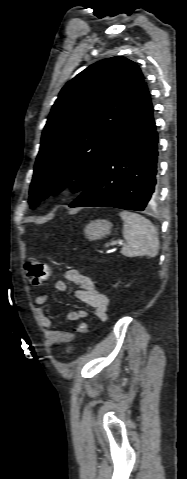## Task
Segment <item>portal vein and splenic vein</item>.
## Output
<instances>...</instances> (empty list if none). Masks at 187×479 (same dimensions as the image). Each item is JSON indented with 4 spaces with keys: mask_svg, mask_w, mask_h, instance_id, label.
Segmentation results:
<instances>
[{
    "mask_svg": "<svg viewBox=\"0 0 187 479\" xmlns=\"http://www.w3.org/2000/svg\"><path fill=\"white\" fill-rule=\"evenodd\" d=\"M118 244L121 245V244H123V242H122V241H118V242L113 241V242H111L110 244H108V245L106 246V247H107V250H109L110 247L116 246V245H118Z\"/></svg>",
    "mask_w": 187,
    "mask_h": 479,
    "instance_id": "1",
    "label": "portal vein and splenic vein"
}]
</instances>
